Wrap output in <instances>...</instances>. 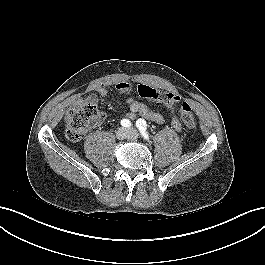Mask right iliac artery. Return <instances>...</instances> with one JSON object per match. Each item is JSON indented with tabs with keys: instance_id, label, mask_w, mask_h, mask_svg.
<instances>
[{
	"instance_id": "82829eb1",
	"label": "right iliac artery",
	"mask_w": 265,
	"mask_h": 265,
	"mask_svg": "<svg viewBox=\"0 0 265 265\" xmlns=\"http://www.w3.org/2000/svg\"><path fill=\"white\" fill-rule=\"evenodd\" d=\"M121 125L123 127L129 128V127H131L132 124H131V122L128 119H122L121 120Z\"/></svg>"
}]
</instances>
